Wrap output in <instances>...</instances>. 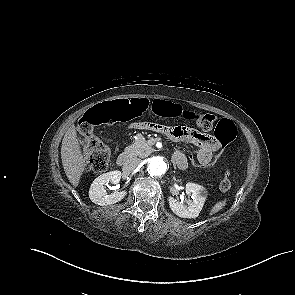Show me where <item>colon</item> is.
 I'll return each mask as SVG.
<instances>
[{
    "label": "colon",
    "instance_id": "5ec220e1",
    "mask_svg": "<svg viewBox=\"0 0 295 295\" xmlns=\"http://www.w3.org/2000/svg\"><path fill=\"white\" fill-rule=\"evenodd\" d=\"M151 110L160 117H183L186 120L196 123L204 130H214L215 136L221 142L220 149L214 154L212 160L199 164L196 156L190 147L184 148L191 168L195 171L211 170L215 168L223 157V152L227 150V143L233 141L237 136L235 124L227 119L217 121L211 114H199L184 110L178 104L164 100H154L149 102L145 99L119 100L98 105L83 114L77 124V133L85 147L86 169L94 174L104 172L109 164L110 150L95 134L94 128L97 125H114L130 121L146 111ZM159 128L164 130V126ZM231 187L230 172L227 171L220 181L221 191H227Z\"/></svg>",
    "mask_w": 295,
    "mask_h": 295
}]
</instances>
